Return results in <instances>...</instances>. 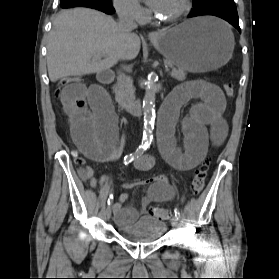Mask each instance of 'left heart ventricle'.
<instances>
[{"label": "left heart ventricle", "instance_id": "b2bd125f", "mask_svg": "<svg viewBox=\"0 0 279 279\" xmlns=\"http://www.w3.org/2000/svg\"><path fill=\"white\" fill-rule=\"evenodd\" d=\"M183 5V0H161L156 15L159 17H171L175 15Z\"/></svg>", "mask_w": 279, "mask_h": 279}]
</instances>
